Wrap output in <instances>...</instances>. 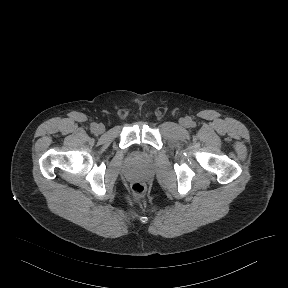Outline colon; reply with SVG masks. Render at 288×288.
<instances>
[{
    "label": "colon",
    "mask_w": 288,
    "mask_h": 288,
    "mask_svg": "<svg viewBox=\"0 0 288 288\" xmlns=\"http://www.w3.org/2000/svg\"><path fill=\"white\" fill-rule=\"evenodd\" d=\"M131 194L136 197H142L145 194V188L142 183L135 182L131 186Z\"/></svg>",
    "instance_id": "1"
}]
</instances>
